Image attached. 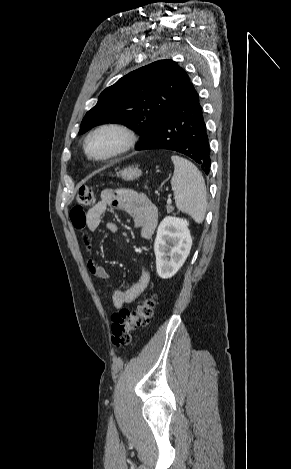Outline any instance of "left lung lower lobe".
Wrapping results in <instances>:
<instances>
[{"label":"left lung lower lobe","instance_id":"0a47b994","mask_svg":"<svg viewBox=\"0 0 291 469\" xmlns=\"http://www.w3.org/2000/svg\"><path fill=\"white\" fill-rule=\"evenodd\" d=\"M168 149L182 153L210 171V145L199 96L190 83L150 136L136 150Z\"/></svg>","mask_w":291,"mask_h":469}]
</instances>
